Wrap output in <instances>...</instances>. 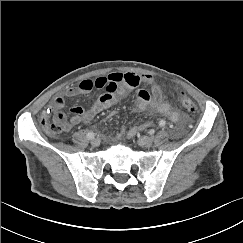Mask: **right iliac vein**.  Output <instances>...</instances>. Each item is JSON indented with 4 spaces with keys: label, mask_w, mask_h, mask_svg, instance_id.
I'll list each match as a JSON object with an SVG mask.
<instances>
[{
    "label": "right iliac vein",
    "mask_w": 243,
    "mask_h": 243,
    "mask_svg": "<svg viewBox=\"0 0 243 243\" xmlns=\"http://www.w3.org/2000/svg\"><path fill=\"white\" fill-rule=\"evenodd\" d=\"M91 144L93 145V146H99V144H100V139L99 138H93V139H91Z\"/></svg>",
    "instance_id": "obj_1"
}]
</instances>
